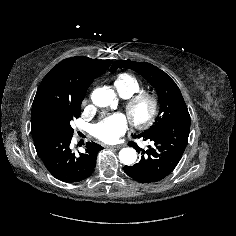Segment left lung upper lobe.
Returning a JSON list of instances; mask_svg holds the SVG:
<instances>
[{"label": "left lung upper lobe", "instance_id": "obj_1", "mask_svg": "<svg viewBox=\"0 0 236 236\" xmlns=\"http://www.w3.org/2000/svg\"><path fill=\"white\" fill-rule=\"evenodd\" d=\"M117 68H129L142 75L155 87L160 110L154 125L143 133L156 132L169 123L190 119L187 106L176 83L162 70L145 62L115 61L111 71Z\"/></svg>", "mask_w": 236, "mask_h": 236}]
</instances>
